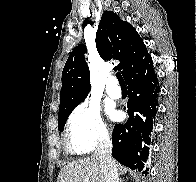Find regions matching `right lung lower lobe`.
Wrapping results in <instances>:
<instances>
[{"instance_id": "98d812e1", "label": "right lung lower lobe", "mask_w": 196, "mask_h": 182, "mask_svg": "<svg viewBox=\"0 0 196 182\" xmlns=\"http://www.w3.org/2000/svg\"><path fill=\"white\" fill-rule=\"evenodd\" d=\"M128 85L129 119L116 124L112 133V156L131 169L144 170L148 158L153 120L157 113L159 85L151 56L125 77ZM147 174V171H143Z\"/></svg>"}]
</instances>
